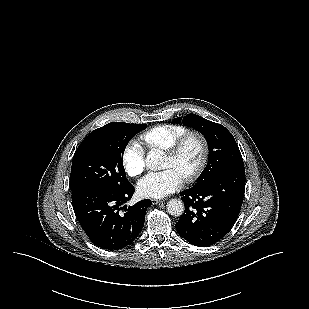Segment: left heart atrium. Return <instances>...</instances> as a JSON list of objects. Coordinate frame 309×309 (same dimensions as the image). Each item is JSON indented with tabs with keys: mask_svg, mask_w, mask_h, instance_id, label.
Instances as JSON below:
<instances>
[{
	"mask_svg": "<svg viewBox=\"0 0 309 309\" xmlns=\"http://www.w3.org/2000/svg\"><path fill=\"white\" fill-rule=\"evenodd\" d=\"M182 183L183 178L174 169H166L147 174L139 181L137 191L142 197L164 198L178 190Z\"/></svg>",
	"mask_w": 309,
	"mask_h": 309,
	"instance_id": "obj_1",
	"label": "left heart atrium"
}]
</instances>
